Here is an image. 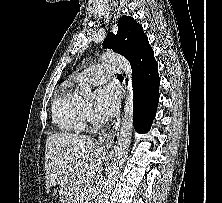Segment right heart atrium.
Masks as SVG:
<instances>
[{
	"label": "right heart atrium",
	"instance_id": "1",
	"mask_svg": "<svg viewBox=\"0 0 222 203\" xmlns=\"http://www.w3.org/2000/svg\"><path fill=\"white\" fill-rule=\"evenodd\" d=\"M85 113H86V119L88 121H92L94 119V113L90 107L86 106Z\"/></svg>",
	"mask_w": 222,
	"mask_h": 203
}]
</instances>
